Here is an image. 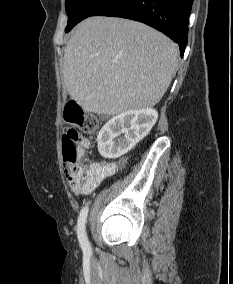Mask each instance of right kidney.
<instances>
[{
	"instance_id": "1",
	"label": "right kidney",
	"mask_w": 233,
	"mask_h": 284,
	"mask_svg": "<svg viewBox=\"0 0 233 284\" xmlns=\"http://www.w3.org/2000/svg\"><path fill=\"white\" fill-rule=\"evenodd\" d=\"M157 118L158 113L152 108L114 116L97 136L99 153L105 158H119L126 154L150 132Z\"/></svg>"
}]
</instances>
